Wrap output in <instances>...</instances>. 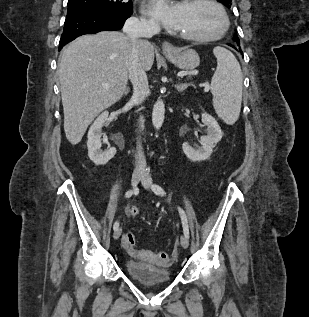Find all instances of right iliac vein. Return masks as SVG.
<instances>
[{
	"mask_svg": "<svg viewBox=\"0 0 309 317\" xmlns=\"http://www.w3.org/2000/svg\"><path fill=\"white\" fill-rule=\"evenodd\" d=\"M142 178H143V173L141 171H135L132 175V180H131L132 187L136 188L140 180H142ZM121 233H122V228H118L117 230L114 231L113 238L117 240L120 237Z\"/></svg>",
	"mask_w": 309,
	"mask_h": 317,
	"instance_id": "obj_1",
	"label": "right iliac vein"
}]
</instances>
